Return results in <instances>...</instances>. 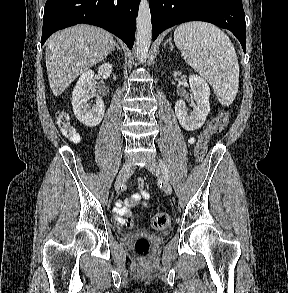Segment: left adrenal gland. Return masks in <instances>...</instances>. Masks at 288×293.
I'll return each instance as SVG.
<instances>
[{"mask_svg":"<svg viewBox=\"0 0 288 293\" xmlns=\"http://www.w3.org/2000/svg\"><path fill=\"white\" fill-rule=\"evenodd\" d=\"M167 43H169L170 44V49H173V44H172V41H171V39L169 38V39H167L166 41H165V43H164V48H165V46H166V44Z\"/></svg>","mask_w":288,"mask_h":293,"instance_id":"1","label":"left adrenal gland"}]
</instances>
